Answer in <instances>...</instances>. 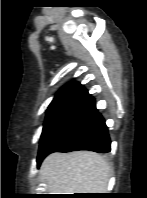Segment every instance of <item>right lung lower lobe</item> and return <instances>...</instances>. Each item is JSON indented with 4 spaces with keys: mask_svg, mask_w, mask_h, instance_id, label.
<instances>
[{
    "mask_svg": "<svg viewBox=\"0 0 147 198\" xmlns=\"http://www.w3.org/2000/svg\"><path fill=\"white\" fill-rule=\"evenodd\" d=\"M90 150L110 152V138L105 121L90 95L75 106L61 125L39 149L37 163L52 152Z\"/></svg>",
    "mask_w": 147,
    "mask_h": 198,
    "instance_id": "obj_1",
    "label": "right lung lower lobe"
}]
</instances>
